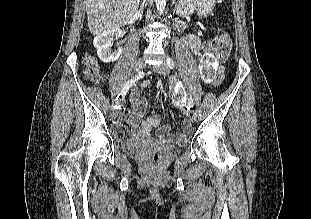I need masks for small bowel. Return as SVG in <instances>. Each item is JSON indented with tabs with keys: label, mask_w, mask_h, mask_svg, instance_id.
Instances as JSON below:
<instances>
[{
	"label": "small bowel",
	"mask_w": 311,
	"mask_h": 219,
	"mask_svg": "<svg viewBox=\"0 0 311 219\" xmlns=\"http://www.w3.org/2000/svg\"><path fill=\"white\" fill-rule=\"evenodd\" d=\"M188 44L192 50L197 53L199 49V40L195 37L188 39ZM221 82V77L216 76L213 79V85L218 86ZM146 83H143L145 86ZM176 100L181 101L184 98V94L181 92L176 93ZM131 109H126L120 115L118 120L119 134L121 136H131L132 134H138L143 138H147L151 135L153 129L160 128L162 136L168 139H176L177 141H184L191 133L188 123H184V131L174 136L168 134L169 126L163 125V115H152L146 119H143L144 112L148 106V100L140 98L139 91L134 89L130 95Z\"/></svg>",
	"instance_id": "c3829d8e"
}]
</instances>
